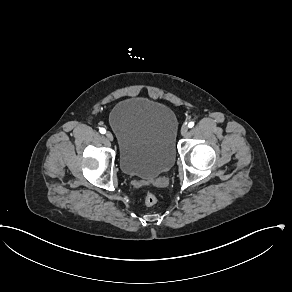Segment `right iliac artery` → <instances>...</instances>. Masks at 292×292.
Listing matches in <instances>:
<instances>
[{
	"instance_id": "right-iliac-artery-1",
	"label": "right iliac artery",
	"mask_w": 292,
	"mask_h": 292,
	"mask_svg": "<svg viewBox=\"0 0 292 292\" xmlns=\"http://www.w3.org/2000/svg\"><path fill=\"white\" fill-rule=\"evenodd\" d=\"M99 131H100L101 134H105L106 133V129L105 128H100Z\"/></svg>"
}]
</instances>
